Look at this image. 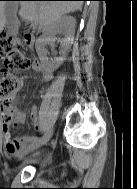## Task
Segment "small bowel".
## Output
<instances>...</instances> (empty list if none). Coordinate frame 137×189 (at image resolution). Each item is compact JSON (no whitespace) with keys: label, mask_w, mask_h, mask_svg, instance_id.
Instances as JSON below:
<instances>
[{"label":"small bowel","mask_w":137,"mask_h":189,"mask_svg":"<svg viewBox=\"0 0 137 189\" xmlns=\"http://www.w3.org/2000/svg\"><path fill=\"white\" fill-rule=\"evenodd\" d=\"M34 70L40 74L42 81H49L52 77L51 73L43 69L39 64H36ZM16 97V93L12 96V99ZM30 117L32 126L35 131L40 129V123L38 121V109L33 106L31 108ZM0 119L1 129L5 139V150L7 154L12 157H21L25 151L32 145V136H21L16 139L11 137V128L13 125L23 124L26 120V112L21 110L17 106L10 103H0Z\"/></svg>","instance_id":"obj_1"}]
</instances>
